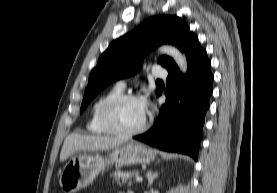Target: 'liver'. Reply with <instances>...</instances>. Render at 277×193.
<instances>
[{"label": "liver", "mask_w": 277, "mask_h": 193, "mask_svg": "<svg viewBox=\"0 0 277 193\" xmlns=\"http://www.w3.org/2000/svg\"><path fill=\"white\" fill-rule=\"evenodd\" d=\"M126 142L123 138L70 134L64 141L60 153V161L64 162L78 151H103L110 150L123 145Z\"/></svg>", "instance_id": "1"}]
</instances>
